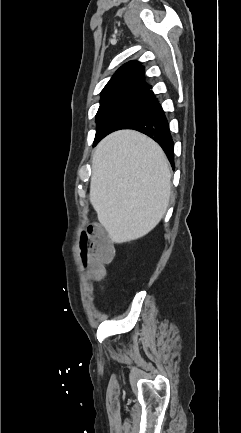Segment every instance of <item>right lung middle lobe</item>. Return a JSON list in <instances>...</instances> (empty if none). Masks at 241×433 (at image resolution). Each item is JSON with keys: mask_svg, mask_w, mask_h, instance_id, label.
Here are the masks:
<instances>
[{"mask_svg": "<svg viewBox=\"0 0 241 433\" xmlns=\"http://www.w3.org/2000/svg\"><path fill=\"white\" fill-rule=\"evenodd\" d=\"M154 96H118L101 100L96 115L94 145L109 133L122 129L152 102Z\"/></svg>", "mask_w": 241, "mask_h": 433, "instance_id": "1", "label": "right lung middle lobe"}]
</instances>
